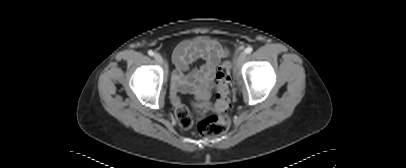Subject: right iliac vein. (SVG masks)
I'll list each match as a JSON object with an SVG mask.
<instances>
[{
	"instance_id": "obj_1",
	"label": "right iliac vein",
	"mask_w": 406,
	"mask_h": 168,
	"mask_svg": "<svg viewBox=\"0 0 406 168\" xmlns=\"http://www.w3.org/2000/svg\"><path fill=\"white\" fill-rule=\"evenodd\" d=\"M154 58H155V60H156L159 64H163V63H164L163 57H162L160 54L156 53L155 56H154Z\"/></svg>"
}]
</instances>
